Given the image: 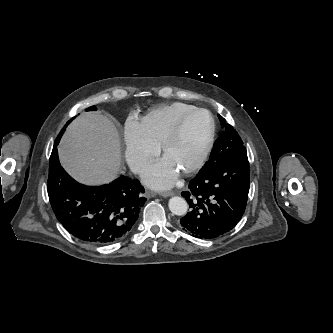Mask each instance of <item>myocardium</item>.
Instances as JSON below:
<instances>
[{
	"mask_svg": "<svg viewBox=\"0 0 333 333\" xmlns=\"http://www.w3.org/2000/svg\"><path fill=\"white\" fill-rule=\"evenodd\" d=\"M200 112L206 113L209 116V119H210L209 133L207 135L204 146H203L199 156L190 166H188L187 168L183 169L180 172V174H182V175H189V174L194 173L195 171L200 169L206 162V160L212 150L214 139H215V134H216V122H215L213 114L208 109L200 108V107H196V108L184 113L176 121V123L171 128V130L166 135V137L164 138V140L161 144V151H162L163 156L165 157V154L167 153L168 149L179 139L182 129H183L184 124L187 121V119L189 117H191L192 115H194L196 113H200Z\"/></svg>",
	"mask_w": 333,
	"mask_h": 333,
	"instance_id": "myocardium-1",
	"label": "myocardium"
}]
</instances>
